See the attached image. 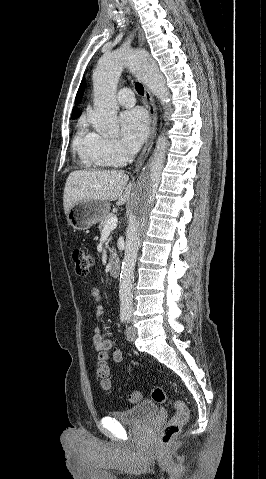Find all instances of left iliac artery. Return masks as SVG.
<instances>
[{"instance_id":"left-iliac-artery-1","label":"left iliac artery","mask_w":266,"mask_h":479,"mask_svg":"<svg viewBox=\"0 0 266 479\" xmlns=\"http://www.w3.org/2000/svg\"><path fill=\"white\" fill-rule=\"evenodd\" d=\"M127 321L128 322L130 321V315H127Z\"/></svg>"}]
</instances>
